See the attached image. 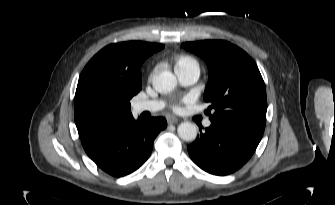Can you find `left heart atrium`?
Returning a JSON list of instances; mask_svg holds the SVG:
<instances>
[{"instance_id":"left-heart-atrium-1","label":"left heart atrium","mask_w":335,"mask_h":205,"mask_svg":"<svg viewBox=\"0 0 335 205\" xmlns=\"http://www.w3.org/2000/svg\"><path fill=\"white\" fill-rule=\"evenodd\" d=\"M174 109L179 110V106L175 105Z\"/></svg>"}]
</instances>
